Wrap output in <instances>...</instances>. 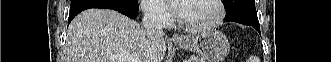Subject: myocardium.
I'll return each mask as SVG.
<instances>
[{
	"mask_svg": "<svg viewBox=\"0 0 331 62\" xmlns=\"http://www.w3.org/2000/svg\"><path fill=\"white\" fill-rule=\"evenodd\" d=\"M211 1L214 3V5L217 9V14L211 21H209L207 23H202V24H192V23L186 22L182 18V16L179 15L178 20H179L180 25L190 31L210 30V29H213V28L217 27L218 25H220L225 17V9H224L223 2L221 0H211Z\"/></svg>",
	"mask_w": 331,
	"mask_h": 62,
	"instance_id": "obj_1",
	"label": "myocardium"
}]
</instances>
